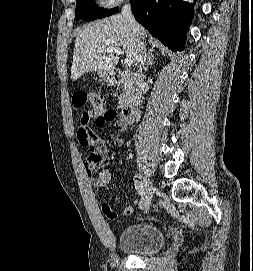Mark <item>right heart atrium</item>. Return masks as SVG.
Instances as JSON below:
<instances>
[{
  "label": "right heart atrium",
  "mask_w": 253,
  "mask_h": 271,
  "mask_svg": "<svg viewBox=\"0 0 253 271\" xmlns=\"http://www.w3.org/2000/svg\"><path fill=\"white\" fill-rule=\"evenodd\" d=\"M99 1L105 7H112L119 4L122 0H99Z\"/></svg>",
  "instance_id": "right-heart-atrium-1"
}]
</instances>
